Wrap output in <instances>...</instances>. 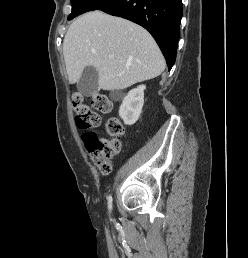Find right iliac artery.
I'll use <instances>...</instances> for the list:
<instances>
[{
	"label": "right iliac artery",
	"mask_w": 248,
	"mask_h": 258,
	"mask_svg": "<svg viewBox=\"0 0 248 258\" xmlns=\"http://www.w3.org/2000/svg\"><path fill=\"white\" fill-rule=\"evenodd\" d=\"M108 206H109V209L111 210L112 209V197L109 196V199H108Z\"/></svg>",
	"instance_id": "right-iliac-artery-1"
}]
</instances>
